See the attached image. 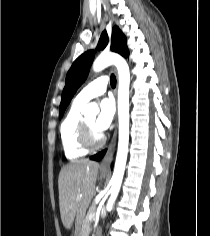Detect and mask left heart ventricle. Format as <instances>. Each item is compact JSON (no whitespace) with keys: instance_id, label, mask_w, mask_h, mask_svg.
I'll list each match as a JSON object with an SVG mask.
<instances>
[{"instance_id":"obj_1","label":"left heart ventricle","mask_w":210,"mask_h":236,"mask_svg":"<svg viewBox=\"0 0 210 236\" xmlns=\"http://www.w3.org/2000/svg\"><path fill=\"white\" fill-rule=\"evenodd\" d=\"M87 122L89 123V125L95 130V132L97 134H99V132L95 129L94 123H95V117H86Z\"/></svg>"}]
</instances>
